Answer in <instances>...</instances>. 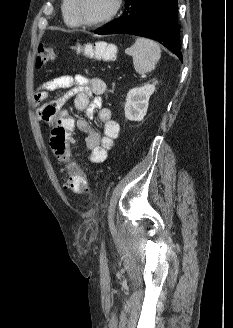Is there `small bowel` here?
<instances>
[{"label": "small bowel", "instance_id": "c3829d8e", "mask_svg": "<svg viewBox=\"0 0 233 328\" xmlns=\"http://www.w3.org/2000/svg\"><path fill=\"white\" fill-rule=\"evenodd\" d=\"M58 89L67 90L59 99L45 102L48 94ZM105 82L100 78H88L78 74L75 76L64 75L44 83L34 95V103L38 107L39 119L52 125L55 115L60 111L64 102L74 98V107L83 111L86 118L75 122L78 131L85 134L84 148L89 160L93 163H102L106 160L109 150L113 147L119 136L120 126L112 118L109 108L103 107L102 97L105 93ZM97 115L103 124V134L97 132L90 120Z\"/></svg>", "mask_w": 233, "mask_h": 328}]
</instances>
